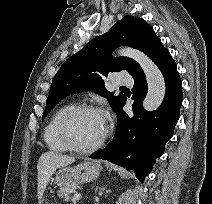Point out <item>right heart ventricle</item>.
I'll use <instances>...</instances> for the list:
<instances>
[{"instance_id":"obj_1","label":"right heart ventricle","mask_w":212,"mask_h":204,"mask_svg":"<svg viewBox=\"0 0 212 204\" xmlns=\"http://www.w3.org/2000/svg\"><path fill=\"white\" fill-rule=\"evenodd\" d=\"M71 104H66L58 108L53 115L51 116L50 120L48 121L44 133L43 138L47 145V147L55 152H66L68 149L60 140L58 135V122L62 114L70 108Z\"/></svg>"}]
</instances>
